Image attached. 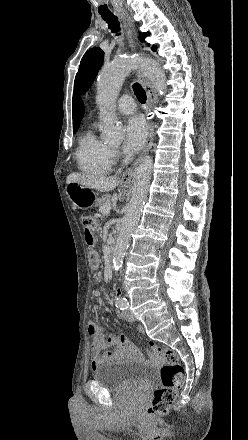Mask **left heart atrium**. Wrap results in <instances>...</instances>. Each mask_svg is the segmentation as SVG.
I'll list each match as a JSON object with an SVG mask.
<instances>
[{
  "label": "left heart atrium",
  "instance_id": "1",
  "mask_svg": "<svg viewBox=\"0 0 248 440\" xmlns=\"http://www.w3.org/2000/svg\"><path fill=\"white\" fill-rule=\"evenodd\" d=\"M124 151L132 156L137 153L145 143L147 127L144 120L139 116L131 117L124 127Z\"/></svg>",
  "mask_w": 248,
  "mask_h": 440
}]
</instances>
